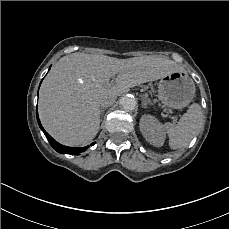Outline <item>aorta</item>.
Wrapping results in <instances>:
<instances>
[{"instance_id":"1","label":"aorta","mask_w":229,"mask_h":229,"mask_svg":"<svg viewBox=\"0 0 229 229\" xmlns=\"http://www.w3.org/2000/svg\"><path fill=\"white\" fill-rule=\"evenodd\" d=\"M120 105L126 111H133L137 107V100L132 96H124L120 100Z\"/></svg>"}]
</instances>
